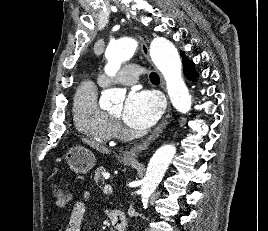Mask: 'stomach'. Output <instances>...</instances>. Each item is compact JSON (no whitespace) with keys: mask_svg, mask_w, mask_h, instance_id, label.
<instances>
[{"mask_svg":"<svg viewBox=\"0 0 268 231\" xmlns=\"http://www.w3.org/2000/svg\"><path fill=\"white\" fill-rule=\"evenodd\" d=\"M65 160L71 170L77 174L88 173L94 167L96 161L94 154L82 146H75L68 150ZM124 164L130 165L131 161H124Z\"/></svg>","mask_w":268,"mask_h":231,"instance_id":"1","label":"stomach"}]
</instances>
